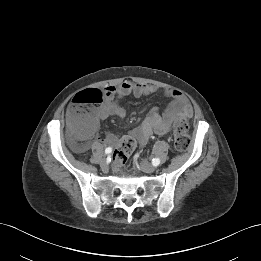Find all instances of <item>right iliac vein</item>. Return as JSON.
<instances>
[{"label": "right iliac vein", "instance_id": "1", "mask_svg": "<svg viewBox=\"0 0 261 261\" xmlns=\"http://www.w3.org/2000/svg\"><path fill=\"white\" fill-rule=\"evenodd\" d=\"M100 166L104 169H106L108 167V163L105 159H101L100 161Z\"/></svg>", "mask_w": 261, "mask_h": 261}]
</instances>
